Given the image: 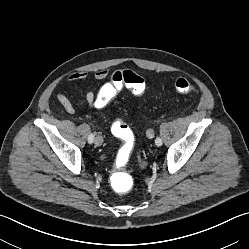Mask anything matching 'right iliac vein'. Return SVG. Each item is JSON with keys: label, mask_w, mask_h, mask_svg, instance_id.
Returning a JSON list of instances; mask_svg holds the SVG:
<instances>
[{"label": "right iliac vein", "mask_w": 249, "mask_h": 249, "mask_svg": "<svg viewBox=\"0 0 249 249\" xmlns=\"http://www.w3.org/2000/svg\"><path fill=\"white\" fill-rule=\"evenodd\" d=\"M102 143H103V138L101 136H97L95 138V145L100 146V145H102Z\"/></svg>", "instance_id": "obj_1"}]
</instances>
